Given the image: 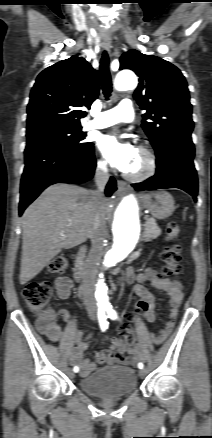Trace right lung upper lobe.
Masks as SVG:
<instances>
[{
  "label": "right lung upper lobe",
  "mask_w": 212,
  "mask_h": 438,
  "mask_svg": "<svg viewBox=\"0 0 212 438\" xmlns=\"http://www.w3.org/2000/svg\"><path fill=\"white\" fill-rule=\"evenodd\" d=\"M99 94L97 70L76 55L62 60L37 77L27 108V130L44 125L80 126V118Z\"/></svg>",
  "instance_id": "right-lung-upper-lobe-1"
}]
</instances>
